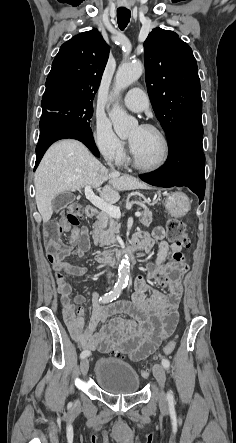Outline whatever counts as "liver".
Listing matches in <instances>:
<instances>
[{
    "instance_id": "obj_1",
    "label": "liver",
    "mask_w": 236,
    "mask_h": 443,
    "mask_svg": "<svg viewBox=\"0 0 236 443\" xmlns=\"http://www.w3.org/2000/svg\"><path fill=\"white\" fill-rule=\"evenodd\" d=\"M104 182L108 183L101 190ZM34 184L44 223L50 220L52 200L60 193L91 186L100 190L101 199L113 204L120 199V191L149 188L133 177L109 172L81 142L72 139L59 141L47 150L35 172Z\"/></svg>"
}]
</instances>
